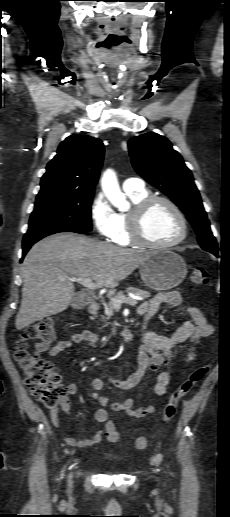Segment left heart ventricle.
<instances>
[{
  "mask_svg": "<svg viewBox=\"0 0 230 517\" xmlns=\"http://www.w3.org/2000/svg\"><path fill=\"white\" fill-rule=\"evenodd\" d=\"M144 231L148 239L157 243L175 240L182 231V225L175 212L162 202L155 203L144 220Z\"/></svg>",
  "mask_w": 230,
  "mask_h": 517,
  "instance_id": "b2bd125f",
  "label": "left heart ventricle"
}]
</instances>
